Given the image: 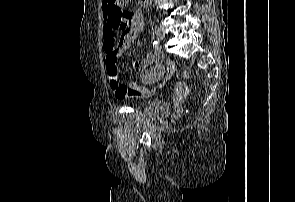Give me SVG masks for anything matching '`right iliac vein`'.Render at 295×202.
I'll return each instance as SVG.
<instances>
[{
  "label": "right iliac vein",
  "instance_id": "1",
  "mask_svg": "<svg viewBox=\"0 0 295 202\" xmlns=\"http://www.w3.org/2000/svg\"><path fill=\"white\" fill-rule=\"evenodd\" d=\"M155 34L156 37L159 41H164L165 40V33L163 32V30L159 27L155 28Z\"/></svg>",
  "mask_w": 295,
  "mask_h": 202
}]
</instances>
